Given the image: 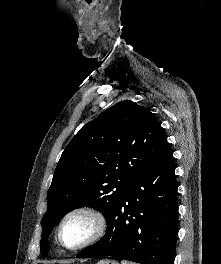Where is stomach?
Listing matches in <instances>:
<instances>
[{"mask_svg": "<svg viewBox=\"0 0 221 264\" xmlns=\"http://www.w3.org/2000/svg\"><path fill=\"white\" fill-rule=\"evenodd\" d=\"M97 264H118V262L114 260L104 259L99 261Z\"/></svg>", "mask_w": 221, "mask_h": 264, "instance_id": "0dacf381", "label": "stomach"}]
</instances>
